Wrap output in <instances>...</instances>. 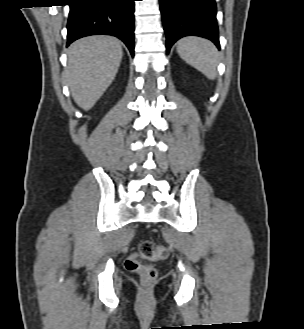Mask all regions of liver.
Listing matches in <instances>:
<instances>
[{
    "mask_svg": "<svg viewBox=\"0 0 304 329\" xmlns=\"http://www.w3.org/2000/svg\"><path fill=\"white\" fill-rule=\"evenodd\" d=\"M122 56L120 41L110 36L85 37L70 45L66 80L83 110L91 109L112 83Z\"/></svg>",
    "mask_w": 304,
    "mask_h": 329,
    "instance_id": "liver-1",
    "label": "liver"
}]
</instances>
